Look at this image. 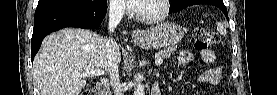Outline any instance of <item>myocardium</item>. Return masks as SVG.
Instances as JSON below:
<instances>
[{"label": "myocardium", "instance_id": "1", "mask_svg": "<svg viewBox=\"0 0 277 95\" xmlns=\"http://www.w3.org/2000/svg\"><path fill=\"white\" fill-rule=\"evenodd\" d=\"M162 4V9L161 11L156 14V15H150V16H145L142 15L138 9H133L134 15L141 21L149 24L157 23L164 19L167 14L169 13L170 10V1L169 0H159Z\"/></svg>", "mask_w": 277, "mask_h": 95}]
</instances>
